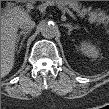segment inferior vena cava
I'll return each instance as SVG.
<instances>
[{
  "instance_id": "inferior-vena-cava-1",
  "label": "inferior vena cava",
  "mask_w": 109,
  "mask_h": 109,
  "mask_svg": "<svg viewBox=\"0 0 109 109\" xmlns=\"http://www.w3.org/2000/svg\"><path fill=\"white\" fill-rule=\"evenodd\" d=\"M19 27L21 29L31 30L35 27V22L31 19H26L19 23Z\"/></svg>"
}]
</instances>
